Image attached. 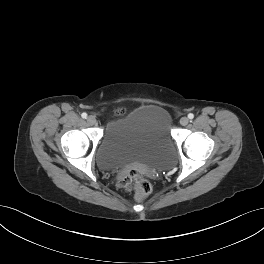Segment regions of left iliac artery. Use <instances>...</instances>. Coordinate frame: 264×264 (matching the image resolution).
I'll return each mask as SVG.
<instances>
[{
	"label": "left iliac artery",
	"instance_id": "obj_1",
	"mask_svg": "<svg viewBox=\"0 0 264 264\" xmlns=\"http://www.w3.org/2000/svg\"><path fill=\"white\" fill-rule=\"evenodd\" d=\"M188 118H189V119H193V118H194V114L189 113V114H188Z\"/></svg>",
	"mask_w": 264,
	"mask_h": 264
}]
</instances>
